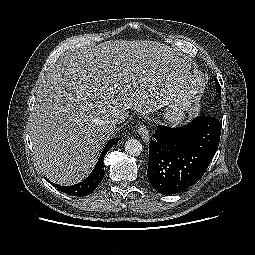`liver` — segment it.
<instances>
[{
	"label": "liver",
	"mask_w": 255,
	"mask_h": 255,
	"mask_svg": "<svg viewBox=\"0 0 255 255\" xmlns=\"http://www.w3.org/2000/svg\"><path fill=\"white\" fill-rule=\"evenodd\" d=\"M176 51L151 40L76 49L42 79L30 124L34 160L60 185L83 180L114 131L111 120L176 102L194 113L201 81Z\"/></svg>",
	"instance_id": "6515ba94"
}]
</instances>
